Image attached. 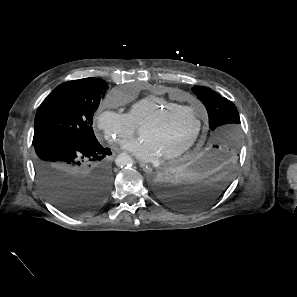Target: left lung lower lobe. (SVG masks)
<instances>
[{
	"instance_id": "obj_1",
	"label": "left lung lower lobe",
	"mask_w": 297,
	"mask_h": 297,
	"mask_svg": "<svg viewBox=\"0 0 297 297\" xmlns=\"http://www.w3.org/2000/svg\"><path fill=\"white\" fill-rule=\"evenodd\" d=\"M236 157L218 149L199 151L178 166L158 173L153 181L157 197L181 210L209 206L230 184Z\"/></svg>"
}]
</instances>
